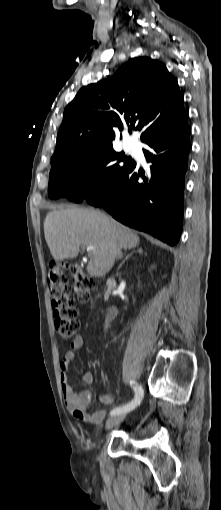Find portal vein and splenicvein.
<instances>
[{"label":"portal vein and splenic vein","mask_w":221,"mask_h":510,"mask_svg":"<svg viewBox=\"0 0 221 510\" xmlns=\"http://www.w3.org/2000/svg\"><path fill=\"white\" fill-rule=\"evenodd\" d=\"M87 250L88 251H92V250H94V248L93 247H89V248H87Z\"/></svg>","instance_id":"1"}]
</instances>
